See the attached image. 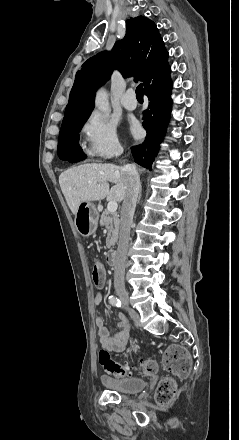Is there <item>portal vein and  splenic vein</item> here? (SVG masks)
I'll return each instance as SVG.
<instances>
[{
	"mask_svg": "<svg viewBox=\"0 0 239 440\" xmlns=\"http://www.w3.org/2000/svg\"><path fill=\"white\" fill-rule=\"evenodd\" d=\"M117 208H118L117 202H109L107 206L108 212H116Z\"/></svg>",
	"mask_w": 239,
	"mask_h": 440,
	"instance_id": "18ae733b",
	"label": "portal vein and splenic vein"
}]
</instances>
